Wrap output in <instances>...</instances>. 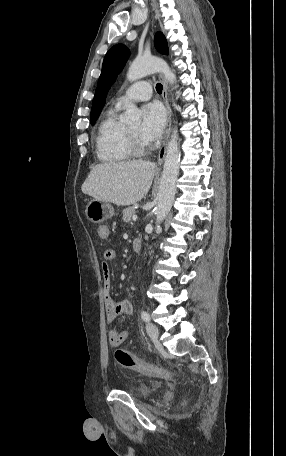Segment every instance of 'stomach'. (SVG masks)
I'll return each mask as SVG.
<instances>
[{
    "mask_svg": "<svg viewBox=\"0 0 286 456\" xmlns=\"http://www.w3.org/2000/svg\"><path fill=\"white\" fill-rule=\"evenodd\" d=\"M87 219L93 223H102L114 216L113 206L108 202L91 200L85 210Z\"/></svg>",
    "mask_w": 286,
    "mask_h": 456,
    "instance_id": "1",
    "label": "stomach"
}]
</instances>
